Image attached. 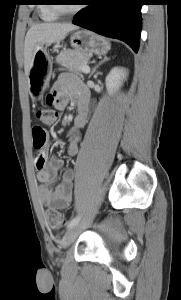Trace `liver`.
I'll return each instance as SVG.
<instances>
[{
  "label": "liver",
  "instance_id": "6515ba94",
  "mask_svg": "<svg viewBox=\"0 0 181 300\" xmlns=\"http://www.w3.org/2000/svg\"><path fill=\"white\" fill-rule=\"evenodd\" d=\"M78 27L71 23H40L30 27L24 44V70L29 76L34 55L39 45L59 43L64 40L67 33Z\"/></svg>",
  "mask_w": 181,
  "mask_h": 300
}]
</instances>
